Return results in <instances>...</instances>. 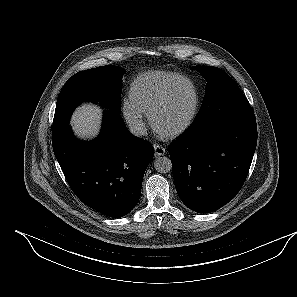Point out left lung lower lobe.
I'll return each mask as SVG.
<instances>
[{
	"label": "left lung lower lobe",
	"mask_w": 297,
	"mask_h": 297,
	"mask_svg": "<svg viewBox=\"0 0 297 297\" xmlns=\"http://www.w3.org/2000/svg\"><path fill=\"white\" fill-rule=\"evenodd\" d=\"M169 146L173 178L182 202L198 213L213 212L240 191L257 144L256 118L248 102L212 114L200 109Z\"/></svg>",
	"instance_id": "0a47b994"
}]
</instances>
